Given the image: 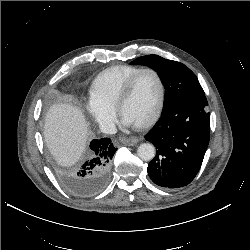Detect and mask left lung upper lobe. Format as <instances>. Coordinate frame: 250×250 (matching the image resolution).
Instances as JSON below:
<instances>
[{
    "label": "left lung upper lobe",
    "instance_id": "obj_1",
    "mask_svg": "<svg viewBox=\"0 0 250 250\" xmlns=\"http://www.w3.org/2000/svg\"><path fill=\"white\" fill-rule=\"evenodd\" d=\"M131 64L147 65L158 72L165 86L162 112L188 99L204 96L197 77L182 63L164 59L158 55H147L135 59Z\"/></svg>",
    "mask_w": 250,
    "mask_h": 250
}]
</instances>
